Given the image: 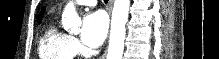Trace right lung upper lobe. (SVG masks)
Returning a JSON list of instances; mask_svg holds the SVG:
<instances>
[{"mask_svg": "<svg viewBox=\"0 0 219 59\" xmlns=\"http://www.w3.org/2000/svg\"><path fill=\"white\" fill-rule=\"evenodd\" d=\"M44 8L42 9V11H41V14L39 15V19H38V21H39V23L41 22V19H42V13L44 12Z\"/></svg>", "mask_w": 219, "mask_h": 59, "instance_id": "1", "label": "right lung upper lobe"}]
</instances>
